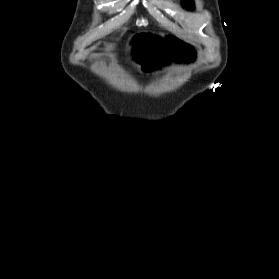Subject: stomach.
<instances>
[{
  "mask_svg": "<svg viewBox=\"0 0 279 279\" xmlns=\"http://www.w3.org/2000/svg\"><path fill=\"white\" fill-rule=\"evenodd\" d=\"M131 34V39L126 43L130 44V49H188V50H127V55H140L139 61L141 69H178V64H148L166 63V59H187L193 61L196 58V51L193 44H181V39H169V34H163L161 30H135ZM173 38V35H170ZM157 74L156 70L152 71ZM161 78H170V73H161ZM140 79H149V71L145 70L140 74Z\"/></svg>",
  "mask_w": 279,
  "mask_h": 279,
  "instance_id": "1",
  "label": "stomach"
}]
</instances>
